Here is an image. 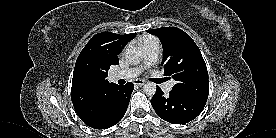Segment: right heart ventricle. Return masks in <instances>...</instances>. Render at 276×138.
Here are the masks:
<instances>
[{"mask_svg":"<svg viewBox=\"0 0 276 138\" xmlns=\"http://www.w3.org/2000/svg\"><path fill=\"white\" fill-rule=\"evenodd\" d=\"M150 41H158V40L152 36H144L141 38L140 44L143 45L144 43L150 42Z\"/></svg>","mask_w":276,"mask_h":138,"instance_id":"e07e8e85","label":"right heart ventricle"}]
</instances>
